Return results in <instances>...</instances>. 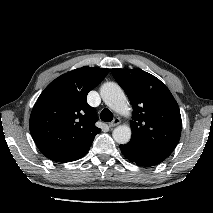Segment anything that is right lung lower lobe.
Returning <instances> with one entry per match:
<instances>
[{"label": "right lung lower lobe", "instance_id": "obj_1", "mask_svg": "<svg viewBox=\"0 0 213 213\" xmlns=\"http://www.w3.org/2000/svg\"><path fill=\"white\" fill-rule=\"evenodd\" d=\"M90 146H91V144L88 145L87 147H85L84 149L78 151V152H75V153H72V154L55 155V156H52L49 159L56 161V162L74 161V160H77V159L83 157L89 151Z\"/></svg>", "mask_w": 213, "mask_h": 213}]
</instances>
